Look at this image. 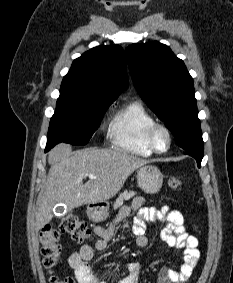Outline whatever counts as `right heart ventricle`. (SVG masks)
Wrapping results in <instances>:
<instances>
[{
	"label": "right heart ventricle",
	"instance_id": "right-heart-ventricle-1",
	"mask_svg": "<svg viewBox=\"0 0 233 283\" xmlns=\"http://www.w3.org/2000/svg\"><path fill=\"white\" fill-rule=\"evenodd\" d=\"M156 123L140 102H131L115 113L109 124L112 145L126 153L148 157L153 154L146 144L148 128Z\"/></svg>",
	"mask_w": 233,
	"mask_h": 283
}]
</instances>
